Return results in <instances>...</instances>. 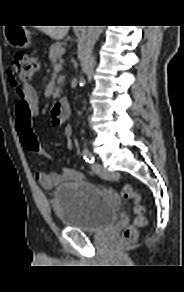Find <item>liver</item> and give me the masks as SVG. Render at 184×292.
<instances>
[{"instance_id":"liver-1","label":"liver","mask_w":184,"mask_h":292,"mask_svg":"<svg viewBox=\"0 0 184 292\" xmlns=\"http://www.w3.org/2000/svg\"><path fill=\"white\" fill-rule=\"evenodd\" d=\"M70 26H40V30L54 40L63 39Z\"/></svg>"}]
</instances>
